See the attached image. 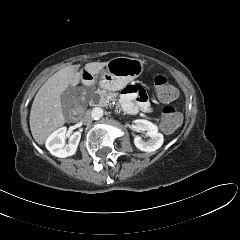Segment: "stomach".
I'll return each mask as SVG.
<instances>
[{"instance_id": "stomach-1", "label": "stomach", "mask_w": 240, "mask_h": 240, "mask_svg": "<svg viewBox=\"0 0 240 240\" xmlns=\"http://www.w3.org/2000/svg\"><path fill=\"white\" fill-rule=\"evenodd\" d=\"M143 64L140 59L116 57L111 59L106 68L102 69L94 78L99 80L101 88L117 91L141 75Z\"/></svg>"}]
</instances>
